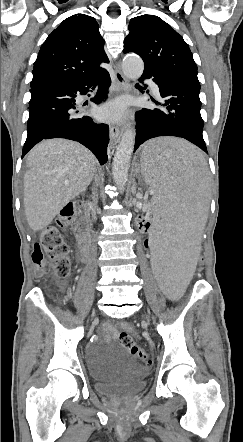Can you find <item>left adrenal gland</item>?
Listing matches in <instances>:
<instances>
[{
  "label": "left adrenal gland",
  "instance_id": "a2214340",
  "mask_svg": "<svg viewBox=\"0 0 243 442\" xmlns=\"http://www.w3.org/2000/svg\"><path fill=\"white\" fill-rule=\"evenodd\" d=\"M133 187L136 188V182H135V179H133Z\"/></svg>",
  "mask_w": 243,
  "mask_h": 442
}]
</instances>
